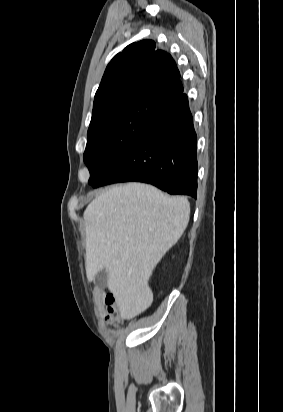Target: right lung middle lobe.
<instances>
[{
  "instance_id": "1",
  "label": "right lung middle lobe",
  "mask_w": 283,
  "mask_h": 412,
  "mask_svg": "<svg viewBox=\"0 0 283 412\" xmlns=\"http://www.w3.org/2000/svg\"><path fill=\"white\" fill-rule=\"evenodd\" d=\"M162 110L132 106L90 123L84 152L89 184L98 180L151 127Z\"/></svg>"
}]
</instances>
